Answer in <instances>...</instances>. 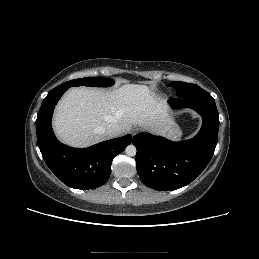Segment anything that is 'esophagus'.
<instances>
[{
	"label": "esophagus",
	"instance_id": "esophagus-1",
	"mask_svg": "<svg viewBox=\"0 0 259 259\" xmlns=\"http://www.w3.org/2000/svg\"><path fill=\"white\" fill-rule=\"evenodd\" d=\"M139 132V128L138 127H133L131 130V134L134 136Z\"/></svg>",
	"mask_w": 259,
	"mask_h": 259
}]
</instances>
